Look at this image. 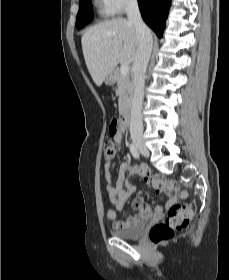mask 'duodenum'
<instances>
[{
    "label": "duodenum",
    "instance_id": "obj_1",
    "mask_svg": "<svg viewBox=\"0 0 229 280\" xmlns=\"http://www.w3.org/2000/svg\"><path fill=\"white\" fill-rule=\"evenodd\" d=\"M120 128L125 131L129 125V111L127 109L123 110L119 117Z\"/></svg>",
    "mask_w": 229,
    "mask_h": 280
}]
</instances>
